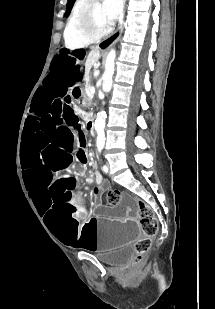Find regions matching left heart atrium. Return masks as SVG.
<instances>
[{
    "label": "left heart atrium",
    "mask_w": 215,
    "mask_h": 309,
    "mask_svg": "<svg viewBox=\"0 0 215 309\" xmlns=\"http://www.w3.org/2000/svg\"><path fill=\"white\" fill-rule=\"evenodd\" d=\"M121 0H106L105 5L108 7L98 20H116L120 12H124V5H120Z\"/></svg>",
    "instance_id": "left-heart-atrium-1"
}]
</instances>
